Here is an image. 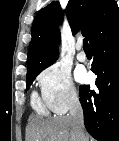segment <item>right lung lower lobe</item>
I'll return each mask as SVG.
<instances>
[{"instance_id":"1","label":"right lung lower lobe","mask_w":119,"mask_h":141,"mask_svg":"<svg viewBox=\"0 0 119 141\" xmlns=\"http://www.w3.org/2000/svg\"><path fill=\"white\" fill-rule=\"evenodd\" d=\"M96 88L81 85L87 131L98 141H119V14L103 24L90 42Z\"/></svg>"}]
</instances>
